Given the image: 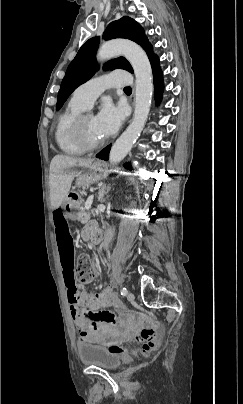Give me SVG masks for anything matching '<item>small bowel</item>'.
<instances>
[{
	"mask_svg": "<svg viewBox=\"0 0 243 404\" xmlns=\"http://www.w3.org/2000/svg\"><path fill=\"white\" fill-rule=\"evenodd\" d=\"M55 229L56 242L60 256L65 285L68 296L71 298L76 291H81L74 279V247L73 239L69 233L68 222L63 210L57 208L52 214ZM95 229L94 225L86 228L85 234ZM111 233L107 235L109 239ZM70 314L79 330L82 343H104L109 339L121 340L122 335L116 330V318L108 310L86 311L80 309L74 303L70 306ZM121 326L124 321L118 322Z\"/></svg>",
	"mask_w": 243,
	"mask_h": 404,
	"instance_id": "small-bowel-1",
	"label": "small bowel"
}]
</instances>
